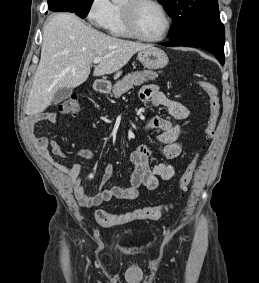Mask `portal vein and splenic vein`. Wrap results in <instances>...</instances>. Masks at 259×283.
<instances>
[{
    "mask_svg": "<svg viewBox=\"0 0 259 283\" xmlns=\"http://www.w3.org/2000/svg\"><path fill=\"white\" fill-rule=\"evenodd\" d=\"M101 60H102V58H95L94 60H93V62L95 63V64H98V63H100L101 62Z\"/></svg>",
    "mask_w": 259,
    "mask_h": 283,
    "instance_id": "portal-vein-and-splenic-vein-1",
    "label": "portal vein and splenic vein"
}]
</instances>
